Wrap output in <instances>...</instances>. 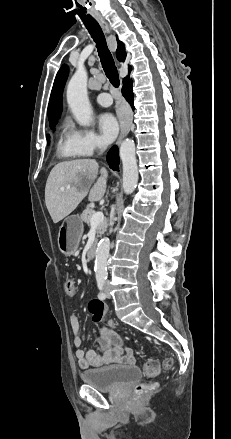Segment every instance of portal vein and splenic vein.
Segmentation results:
<instances>
[{"label":"portal vein and splenic vein","instance_id":"portal-vein-and-splenic-vein-1","mask_svg":"<svg viewBox=\"0 0 231 439\" xmlns=\"http://www.w3.org/2000/svg\"><path fill=\"white\" fill-rule=\"evenodd\" d=\"M104 220V214L102 212H96L90 220L91 227L98 226Z\"/></svg>","mask_w":231,"mask_h":439}]
</instances>
